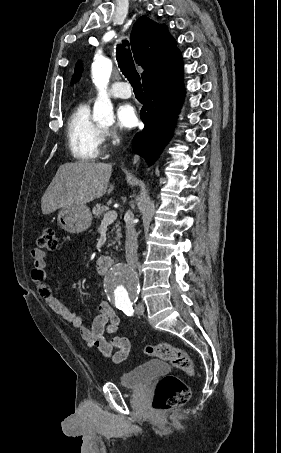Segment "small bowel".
<instances>
[{"label":"small bowel","mask_w":281,"mask_h":453,"mask_svg":"<svg viewBox=\"0 0 281 453\" xmlns=\"http://www.w3.org/2000/svg\"><path fill=\"white\" fill-rule=\"evenodd\" d=\"M33 266L30 270V279L35 283L38 294L46 304L62 317L65 321L77 328L84 342L91 349L102 353L114 363H122L129 355L130 340L116 335L119 317L108 301L99 305V315L89 326L81 316L75 314L68 306L62 304L58 297L51 291L47 283V258L42 250H32ZM117 350L116 353L113 351Z\"/></svg>","instance_id":"small-bowel-1"}]
</instances>
